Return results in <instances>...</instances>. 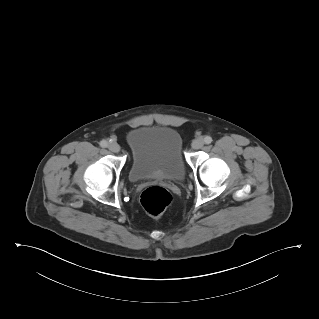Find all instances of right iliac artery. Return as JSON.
Returning a JSON list of instances; mask_svg holds the SVG:
<instances>
[{"label": "right iliac artery", "mask_w": 319, "mask_h": 319, "mask_svg": "<svg viewBox=\"0 0 319 319\" xmlns=\"http://www.w3.org/2000/svg\"><path fill=\"white\" fill-rule=\"evenodd\" d=\"M100 146L103 147V148H106V147L108 146V142L105 141V140H102V141L100 142Z\"/></svg>", "instance_id": "82829eb1"}]
</instances>
